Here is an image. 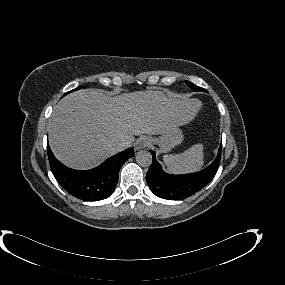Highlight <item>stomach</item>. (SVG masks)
Here are the masks:
<instances>
[{
    "mask_svg": "<svg viewBox=\"0 0 285 285\" xmlns=\"http://www.w3.org/2000/svg\"><path fill=\"white\" fill-rule=\"evenodd\" d=\"M183 133L179 125H175L170 130L166 131L160 137L153 141L156 143L162 152H168L174 146L179 145L183 141Z\"/></svg>",
    "mask_w": 285,
    "mask_h": 285,
    "instance_id": "obj_1",
    "label": "stomach"
}]
</instances>
